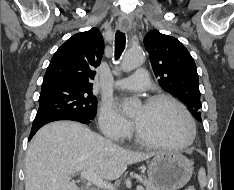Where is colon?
Masks as SVG:
<instances>
[{"label":"colon","mask_w":234,"mask_h":190,"mask_svg":"<svg viewBox=\"0 0 234 190\" xmlns=\"http://www.w3.org/2000/svg\"><path fill=\"white\" fill-rule=\"evenodd\" d=\"M184 190H195L193 186H187Z\"/></svg>","instance_id":"colon-1"}]
</instances>
